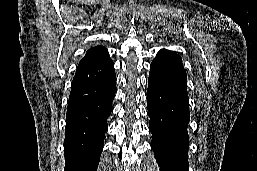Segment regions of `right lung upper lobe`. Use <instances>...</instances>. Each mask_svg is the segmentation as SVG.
<instances>
[{
	"mask_svg": "<svg viewBox=\"0 0 257 171\" xmlns=\"http://www.w3.org/2000/svg\"><path fill=\"white\" fill-rule=\"evenodd\" d=\"M110 58L108 51L103 46H96L90 48L83 59H81L79 65L97 63Z\"/></svg>",
	"mask_w": 257,
	"mask_h": 171,
	"instance_id": "obj_1",
	"label": "right lung upper lobe"
}]
</instances>
